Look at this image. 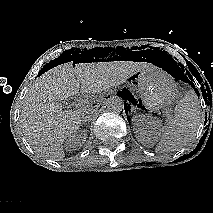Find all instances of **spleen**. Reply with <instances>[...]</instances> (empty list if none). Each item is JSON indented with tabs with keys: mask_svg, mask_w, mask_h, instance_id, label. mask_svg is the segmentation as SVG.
I'll return each instance as SVG.
<instances>
[{
	"mask_svg": "<svg viewBox=\"0 0 213 213\" xmlns=\"http://www.w3.org/2000/svg\"><path fill=\"white\" fill-rule=\"evenodd\" d=\"M201 106L194 90H189L178 102L174 116L163 127L157 152L177 151L191 141L201 124Z\"/></svg>",
	"mask_w": 213,
	"mask_h": 213,
	"instance_id": "obj_1",
	"label": "spleen"
}]
</instances>
